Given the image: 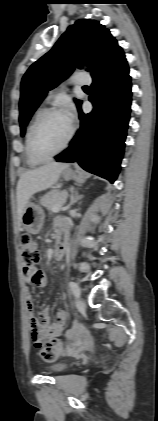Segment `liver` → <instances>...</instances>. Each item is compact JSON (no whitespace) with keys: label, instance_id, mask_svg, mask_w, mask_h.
<instances>
[{"label":"liver","instance_id":"liver-1","mask_svg":"<svg viewBox=\"0 0 158 421\" xmlns=\"http://www.w3.org/2000/svg\"><path fill=\"white\" fill-rule=\"evenodd\" d=\"M68 167L69 165L67 163L53 162L21 174L17 184V214L19 223L22 220L25 207L32 195L54 185L58 181L62 171Z\"/></svg>","mask_w":158,"mask_h":421}]
</instances>
